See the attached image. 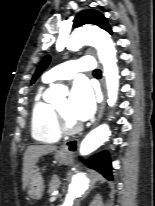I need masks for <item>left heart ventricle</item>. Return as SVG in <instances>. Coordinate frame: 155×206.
Returning <instances> with one entry per match:
<instances>
[{"mask_svg":"<svg viewBox=\"0 0 155 206\" xmlns=\"http://www.w3.org/2000/svg\"><path fill=\"white\" fill-rule=\"evenodd\" d=\"M67 103V99H62L59 102H57L55 106L69 122L76 123V121L73 120L67 112Z\"/></svg>","mask_w":155,"mask_h":206,"instance_id":"b2bd125f","label":"left heart ventricle"}]
</instances>
